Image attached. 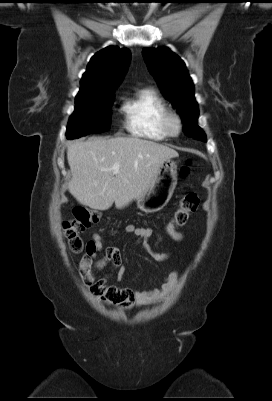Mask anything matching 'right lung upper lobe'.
<instances>
[{
	"label": "right lung upper lobe",
	"instance_id": "right-lung-upper-lobe-1",
	"mask_svg": "<svg viewBox=\"0 0 272 401\" xmlns=\"http://www.w3.org/2000/svg\"><path fill=\"white\" fill-rule=\"evenodd\" d=\"M130 51L108 46L90 60L80 82L76 98L98 92L114 91L121 82L130 61Z\"/></svg>",
	"mask_w": 272,
	"mask_h": 401
}]
</instances>
